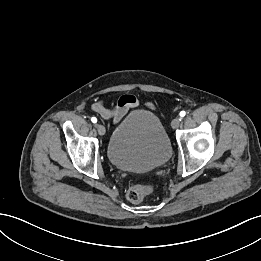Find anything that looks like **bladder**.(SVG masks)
Returning <instances> with one entry per match:
<instances>
[{"label": "bladder", "mask_w": 261, "mask_h": 261, "mask_svg": "<svg viewBox=\"0 0 261 261\" xmlns=\"http://www.w3.org/2000/svg\"><path fill=\"white\" fill-rule=\"evenodd\" d=\"M171 154V142L162 121L146 110L129 113L114 128L107 146L109 161L125 171L160 167Z\"/></svg>", "instance_id": "bladder-1"}]
</instances>
